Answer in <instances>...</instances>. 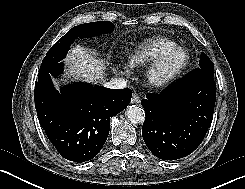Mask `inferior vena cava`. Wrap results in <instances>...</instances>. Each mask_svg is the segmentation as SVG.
Masks as SVG:
<instances>
[{
	"instance_id": "inferior-vena-cava-1",
	"label": "inferior vena cava",
	"mask_w": 245,
	"mask_h": 189,
	"mask_svg": "<svg viewBox=\"0 0 245 189\" xmlns=\"http://www.w3.org/2000/svg\"><path fill=\"white\" fill-rule=\"evenodd\" d=\"M127 86V81L122 78H113L105 84V87L110 89H123Z\"/></svg>"
}]
</instances>
